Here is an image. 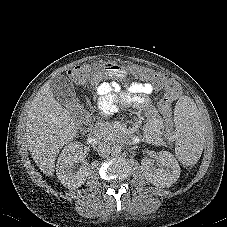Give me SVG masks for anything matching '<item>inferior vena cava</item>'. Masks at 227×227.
Segmentation results:
<instances>
[{
	"label": "inferior vena cava",
	"instance_id": "602c4592",
	"mask_svg": "<svg viewBox=\"0 0 227 227\" xmlns=\"http://www.w3.org/2000/svg\"><path fill=\"white\" fill-rule=\"evenodd\" d=\"M97 152L100 156L106 157L110 155L111 153V148L108 144L106 143H100L97 148Z\"/></svg>",
	"mask_w": 227,
	"mask_h": 227
}]
</instances>
